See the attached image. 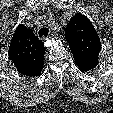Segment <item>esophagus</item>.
I'll list each match as a JSON object with an SVG mask.
<instances>
[{
    "label": "esophagus",
    "mask_w": 113,
    "mask_h": 113,
    "mask_svg": "<svg viewBox=\"0 0 113 113\" xmlns=\"http://www.w3.org/2000/svg\"><path fill=\"white\" fill-rule=\"evenodd\" d=\"M54 38V34H50L48 37L44 38V40H50Z\"/></svg>",
    "instance_id": "1"
}]
</instances>
